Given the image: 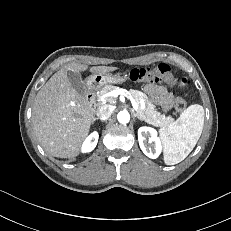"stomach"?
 <instances>
[{
	"label": "stomach",
	"instance_id": "stomach-1",
	"mask_svg": "<svg viewBox=\"0 0 231 231\" xmlns=\"http://www.w3.org/2000/svg\"><path fill=\"white\" fill-rule=\"evenodd\" d=\"M125 80L126 78L120 74L95 73L87 78L86 83L88 86L99 88L105 84H120Z\"/></svg>",
	"mask_w": 231,
	"mask_h": 231
}]
</instances>
